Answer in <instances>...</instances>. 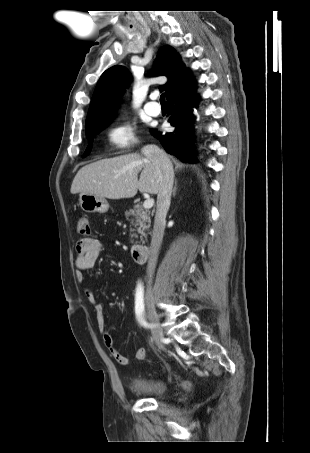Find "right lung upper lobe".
Listing matches in <instances>:
<instances>
[{
	"label": "right lung upper lobe",
	"instance_id": "right-lung-upper-lobe-1",
	"mask_svg": "<svg viewBox=\"0 0 310 453\" xmlns=\"http://www.w3.org/2000/svg\"><path fill=\"white\" fill-rule=\"evenodd\" d=\"M154 71L168 78V82L162 87L166 96L188 74L186 67L180 62V57L170 46L159 51ZM129 81L130 74L124 66H113L102 74L91 100L86 129L111 120L117 98L125 91Z\"/></svg>",
	"mask_w": 310,
	"mask_h": 453
}]
</instances>
